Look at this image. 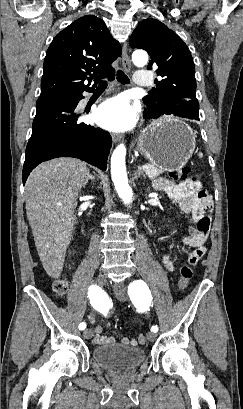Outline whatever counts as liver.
<instances>
[{
    "instance_id": "6515ba94",
    "label": "liver",
    "mask_w": 243,
    "mask_h": 409,
    "mask_svg": "<svg viewBox=\"0 0 243 409\" xmlns=\"http://www.w3.org/2000/svg\"><path fill=\"white\" fill-rule=\"evenodd\" d=\"M89 176L83 161L57 158L38 165L25 185L26 214L46 273L58 278L72 240L78 194Z\"/></svg>"
}]
</instances>
